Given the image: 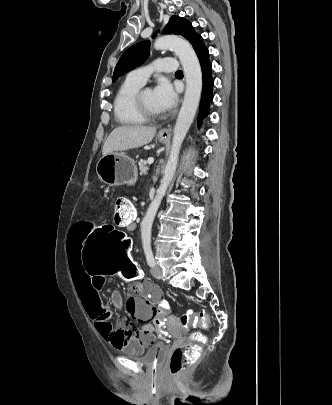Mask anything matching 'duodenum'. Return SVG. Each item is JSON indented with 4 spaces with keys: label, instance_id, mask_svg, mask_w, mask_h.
<instances>
[{
    "label": "duodenum",
    "instance_id": "obj_1",
    "mask_svg": "<svg viewBox=\"0 0 332 405\" xmlns=\"http://www.w3.org/2000/svg\"><path fill=\"white\" fill-rule=\"evenodd\" d=\"M127 227L129 230H135L137 228V222L135 217L127 221Z\"/></svg>",
    "mask_w": 332,
    "mask_h": 405
}]
</instances>
